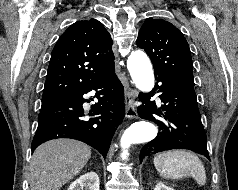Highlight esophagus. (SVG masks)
<instances>
[{
  "label": "esophagus",
  "instance_id": "obj_1",
  "mask_svg": "<svg viewBox=\"0 0 238 190\" xmlns=\"http://www.w3.org/2000/svg\"><path fill=\"white\" fill-rule=\"evenodd\" d=\"M138 96V92L135 89H128L125 92V104H126V113L127 118H137V109L135 107L134 101Z\"/></svg>",
  "mask_w": 238,
  "mask_h": 190
}]
</instances>
